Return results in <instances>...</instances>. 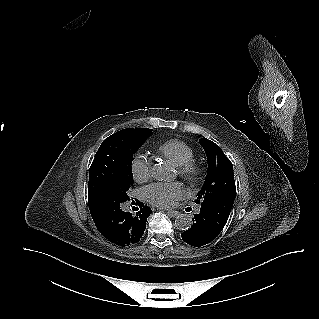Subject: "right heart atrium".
<instances>
[{"mask_svg": "<svg viewBox=\"0 0 319 319\" xmlns=\"http://www.w3.org/2000/svg\"><path fill=\"white\" fill-rule=\"evenodd\" d=\"M152 161L151 159L143 154L137 153L131 160V171L134 179L143 183L151 177Z\"/></svg>", "mask_w": 319, "mask_h": 319, "instance_id": "1", "label": "right heart atrium"}]
</instances>
